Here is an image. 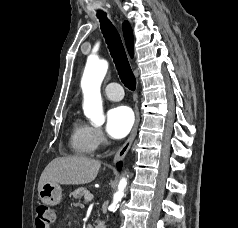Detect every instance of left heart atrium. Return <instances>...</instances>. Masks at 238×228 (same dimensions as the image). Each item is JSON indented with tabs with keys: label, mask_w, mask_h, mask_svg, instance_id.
<instances>
[{
	"label": "left heart atrium",
	"mask_w": 238,
	"mask_h": 228,
	"mask_svg": "<svg viewBox=\"0 0 238 228\" xmlns=\"http://www.w3.org/2000/svg\"><path fill=\"white\" fill-rule=\"evenodd\" d=\"M134 123L132 110L124 105L112 107L106 116L107 133L115 139L126 136Z\"/></svg>",
	"instance_id": "obj_1"
}]
</instances>
